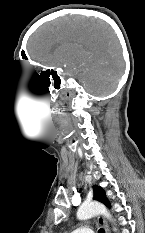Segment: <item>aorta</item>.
Returning a JSON list of instances; mask_svg holds the SVG:
<instances>
[{"label": "aorta", "mask_w": 145, "mask_h": 233, "mask_svg": "<svg viewBox=\"0 0 145 233\" xmlns=\"http://www.w3.org/2000/svg\"><path fill=\"white\" fill-rule=\"evenodd\" d=\"M96 215H103L108 220H112V216L110 212L107 210V208L98 202H91V203H84L82 204L78 211H77V219L78 220H87L89 218H92ZM116 231V229L114 228Z\"/></svg>", "instance_id": "aorta-1"}]
</instances>
